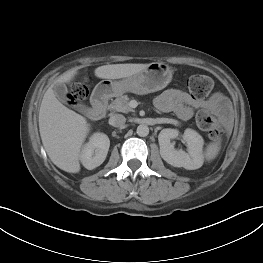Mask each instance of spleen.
<instances>
[{
	"mask_svg": "<svg viewBox=\"0 0 263 263\" xmlns=\"http://www.w3.org/2000/svg\"><path fill=\"white\" fill-rule=\"evenodd\" d=\"M219 145L218 144H215V143H213V144H210L208 147H207V149H206V151H205V158L207 159V160H212V159H214L216 156H217V154H218V152H219Z\"/></svg>",
	"mask_w": 263,
	"mask_h": 263,
	"instance_id": "obj_1",
	"label": "spleen"
}]
</instances>
